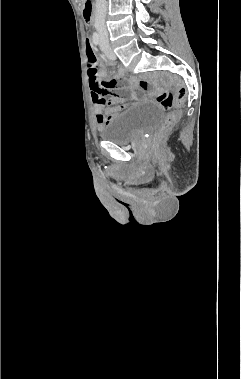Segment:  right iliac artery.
Here are the masks:
<instances>
[{
	"instance_id": "82829eb1",
	"label": "right iliac artery",
	"mask_w": 241,
	"mask_h": 379,
	"mask_svg": "<svg viewBox=\"0 0 241 379\" xmlns=\"http://www.w3.org/2000/svg\"><path fill=\"white\" fill-rule=\"evenodd\" d=\"M93 42L95 45L100 44V37H99L98 33H96V32L93 34Z\"/></svg>"
}]
</instances>
